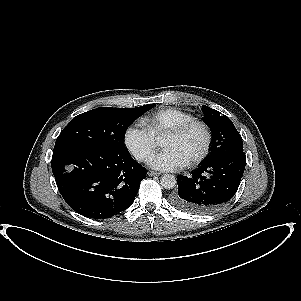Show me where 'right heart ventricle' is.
<instances>
[{"mask_svg": "<svg viewBox=\"0 0 301 301\" xmlns=\"http://www.w3.org/2000/svg\"><path fill=\"white\" fill-rule=\"evenodd\" d=\"M191 120H194L191 114L180 109L169 108L146 119L145 126L154 138L160 139L166 131Z\"/></svg>", "mask_w": 301, "mask_h": 301, "instance_id": "right-heart-ventricle-1", "label": "right heart ventricle"}]
</instances>
